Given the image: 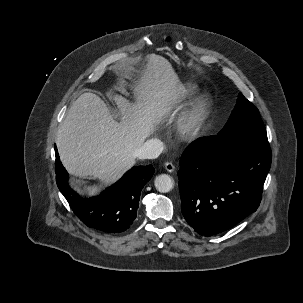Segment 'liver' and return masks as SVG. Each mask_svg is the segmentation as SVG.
<instances>
[{
	"label": "liver",
	"mask_w": 303,
	"mask_h": 303,
	"mask_svg": "<svg viewBox=\"0 0 303 303\" xmlns=\"http://www.w3.org/2000/svg\"><path fill=\"white\" fill-rule=\"evenodd\" d=\"M147 60L134 88L136 102L113 95L121 122L114 120L104 101L93 93L82 94L70 107L55 141L61 162L71 174L93 176L108 185L136 163L135 151L156 131L178 97L179 79L171 64L157 55ZM76 189L94 195L99 188Z\"/></svg>",
	"instance_id": "liver-1"
}]
</instances>
